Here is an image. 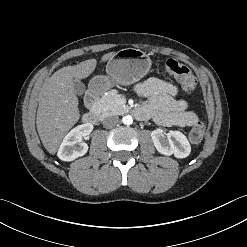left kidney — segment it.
Wrapping results in <instances>:
<instances>
[{"label": "left kidney", "instance_id": "obj_1", "mask_svg": "<svg viewBox=\"0 0 247 247\" xmlns=\"http://www.w3.org/2000/svg\"><path fill=\"white\" fill-rule=\"evenodd\" d=\"M151 138L157 151L163 155H174L185 158L191 152V146L186 136L180 131H171L164 135L161 129L151 132Z\"/></svg>", "mask_w": 247, "mask_h": 247}]
</instances>
